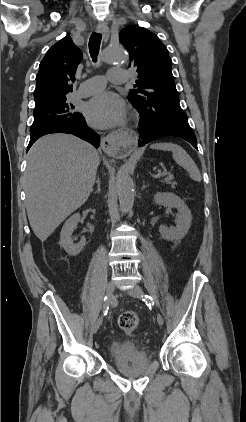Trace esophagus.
<instances>
[{
    "label": "esophagus",
    "instance_id": "34e87169",
    "mask_svg": "<svg viewBox=\"0 0 246 422\" xmlns=\"http://www.w3.org/2000/svg\"><path fill=\"white\" fill-rule=\"evenodd\" d=\"M96 32L102 34L104 42L109 39V28L102 24L96 27ZM122 141L118 139L116 135H108L103 137L101 140V147L103 151L108 155H116L119 152Z\"/></svg>",
    "mask_w": 246,
    "mask_h": 422
}]
</instances>
